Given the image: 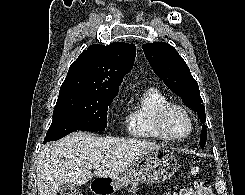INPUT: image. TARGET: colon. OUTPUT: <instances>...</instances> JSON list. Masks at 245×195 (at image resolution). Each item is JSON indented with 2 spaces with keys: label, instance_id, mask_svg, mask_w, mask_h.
<instances>
[{
  "label": "colon",
  "instance_id": "1",
  "mask_svg": "<svg viewBox=\"0 0 245 195\" xmlns=\"http://www.w3.org/2000/svg\"><path fill=\"white\" fill-rule=\"evenodd\" d=\"M178 195H213V193L207 183L199 182L196 183L192 188L181 190Z\"/></svg>",
  "mask_w": 245,
  "mask_h": 195
}]
</instances>
